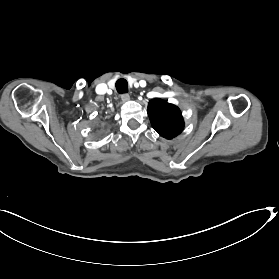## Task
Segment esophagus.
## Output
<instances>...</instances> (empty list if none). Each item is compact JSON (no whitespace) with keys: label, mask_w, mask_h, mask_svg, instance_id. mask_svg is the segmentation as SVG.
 <instances>
[{"label":"esophagus","mask_w":279,"mask_h":279,"mask_svg":"<svg viewBox=\"0 0 279 279\" xmlns=\"http://www.w3.org/2000/svg\"><path fill=\"white\" fill-rule=\"evenodd\" d=\"M121 98H122L123 101H128V100L130 99V96H129V94H127V93H123V94L121 95Z\"/></svg>","instance_id":"34e87169"}]
</instances>
